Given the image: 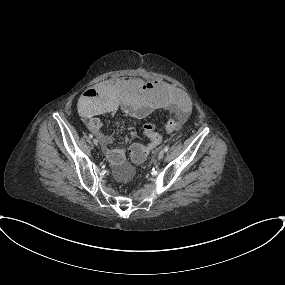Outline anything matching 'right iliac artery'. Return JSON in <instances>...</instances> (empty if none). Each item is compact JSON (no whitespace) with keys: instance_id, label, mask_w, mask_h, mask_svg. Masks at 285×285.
I'll list each match as a JSON object with an SVG mask.
<instances>
[{"instance_id":"obj_1","label":"right iliac artery","mask_w":285,"mask_h":285,"mask_svg":"<svg viewBox=\"0 0 285 285\" xmlns=\"http://www.w3.org/2000/svg\"><path fill=\"white\" fill-rule=\"evenodd\" d=\"M89 137L92 139V138H93V135H92V134H90V135H89Z\"/></svg>"}]
</instances>
